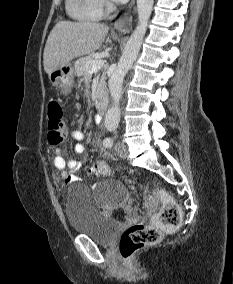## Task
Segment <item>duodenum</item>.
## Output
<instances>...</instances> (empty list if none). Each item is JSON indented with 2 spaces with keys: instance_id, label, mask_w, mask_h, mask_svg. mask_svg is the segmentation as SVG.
Returning <instances> with one entry per match:
<instances>
[{
  "instance_id": "1",
  "label": "duodenum",
  "mask_w": 233,
  "mask_h": 284,
  "mask_svg": "<svg viewBox=\"0 0 233 284\" xmlns=\"http://www.w3.org/2000/svg\"><path fill=\"white\" fill-rule=\"evenodd\" d=\"M97 110L100 114H103L107 108V99L105 97H101L97 102Z\"/></svg>"
}]
</instances>
